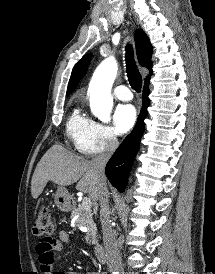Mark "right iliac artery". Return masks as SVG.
Segmentation results:
<instances>
[{
	"mask_svg": "<svg viewBox=\"0 0 215 274\" xmlns=\"http://www.w3.org/2000/svg\"><path fill=\"white\" fill-rule=\"evenodd\" d=\"M113 274H119L118 272H113Z\"/></svg>",
	"mask_w": 215,
	"mask_h": 274,
	"instance_id": "1",
	"label": "right iliac artery"
}]
</instances>
